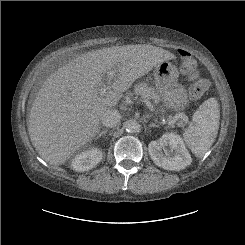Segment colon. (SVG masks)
<instances>
[{
  "label": "colon",
  "mask_w": 245,
  "mask_h": 245,
  "mask_svg": "<svg viewBox=\"0 0 245 245\" xmlns=\"http://www.w3.org/2000/svg\"><path fill=\"white\" fill-rule=\"evenodd\" d=\"M180 70L190 81L189 94L192 98L203 96L209 89L210 83L200 76L197 70L196 60L187 51L180 50Z\"/></svg>",
  "instance_id": "5ec220e1"
}]
</instances>
